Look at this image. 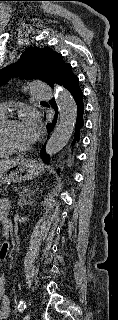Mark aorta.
Here are the masks:
<instances>
[{"mask_svg": "<svg viewBox=\"0 0 118 320\" xmlns=\"http://www.w3.org/2000/svg\"><path fill=\"white\" fill-rule=\"evenodd\" d=\"M54 92L59 110V123L45 147L49 155L56 154L66 146L77 118V106L70 92L57 84L54 86Z\"/></svg>", "mask_w": 118, "mask_h": 320, "instance_id": "aorta-1", "label": "aorta"}]
</instances>
